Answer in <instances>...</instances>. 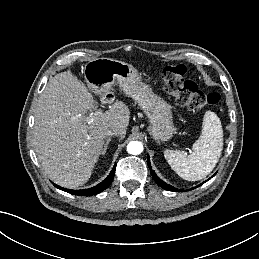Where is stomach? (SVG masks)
Here are the masks:
<instances>
[{"mask_svg": "<svg viewBox=\"0 0 259 259\" xmlns=\"http://www.w3.org/2000/svg\"><path fill=\"white\" fill-rule=\"evenodd\" d=\"M84 77L95 92L107 91L117 82L147 116L148 132L157 143L173 137L175 127L171 106L153 92L131 64L111 58L92 59L84 67Z\"/></svg>", "mask_w": 259, "mask_h": 259, "instance_id": "1", "label": "stomach"}]
</instances>
